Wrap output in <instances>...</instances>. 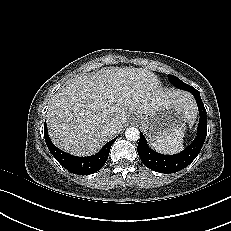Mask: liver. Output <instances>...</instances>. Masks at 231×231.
Here are the masks:
<instances>
[{
  "mask_svg": "<svg viewBox=\"0 0 231 231\" xmlns=\"http://www.w3.org/2000/svg\"><path fill=\"white\" fill-rule=\"evenodd\" d=\"M167 104H178L186 118L194 116L192 96L179 90L166 91L147 69L109 67L69 80L53 96L47 111L52 142L76 156L99 151L128 122L130 114H147ZM111 123L120 125L116 134Z\"/></svg>",
  "mask_w": 231,
  "mask_h": 231,
  "instance_id": "liver-1",
  "label": "liver"
}]
</instances>
